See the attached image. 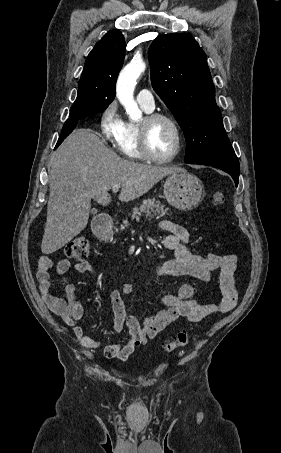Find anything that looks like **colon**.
<instances>
[{"label":"colon","instance_id":"colon-1","mask_svg":"<svg viewBox=\"0 0 281 453\" xmlns=\"http://www.w3.org/2000/svg\"><path fill=\"white\" fill-rule=\"evenodd\" d=\"M209 201L211 205L215 207L222 206L224 204V194L221 191H216L210 194ZM88 241L84 238H75L68 243L65 251V257L69 261H88ZM191 337L188 333L182 332L178 334L177 338L172 342L164 345V351L171 353L176 349L187 347L190 343Z\"/></svg>","mask_w":281,"mask_h":453}]
</instances>
